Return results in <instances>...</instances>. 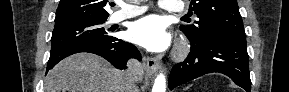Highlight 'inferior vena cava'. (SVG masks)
<instances>
[{"label":"inferior vena cava","instance_id":"inferior-vena-cava-1","mask_svg":"<svg viewBox=\"0 0 289 92\" xmlns=\"http://www.w3.org/2000/svg\"><path fill=\"white\" fill-rule=\"evenodd\" d=\"M124 75L127 92H136V83L141 81L144 75L141 63L136 59H129Z\"/></svg>","mask_w":289,"mask_h":92}]
</instances>
